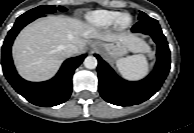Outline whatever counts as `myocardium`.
Wrapping results in <instances>:
<instances>
[{"label": "myocardium", "mask_w": 194, "mask_h": 133, "mask_svg": "<svg viewBox=\"0 0 194 133\" xmlns=\"http://www.w3.org/2000/svg\"><path fill=\"white\" fill-rule=\"evenodd\" d=\"M124 17L128 18L127 22H123ZM132 22H133L132 16L127 12H123V13H120L119 16L116 18L114 26L117 30L124 31L130 28V26L132 25Z\"/></svg>", "instance_id": "1"}]
</instances>
